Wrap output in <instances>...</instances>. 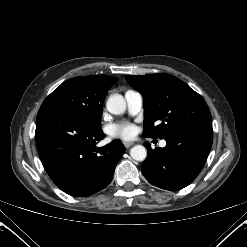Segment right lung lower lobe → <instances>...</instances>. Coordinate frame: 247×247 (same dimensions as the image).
<instances>
[{
  "mask_svg": "<svg viewBox=\"0 0 247 247\" xmlns=\"http://www.w3.org/2000/svg\"><path fill=\"white\" fill-rule=\"evenodd\" d=\"M36 142L42 164L65 193L84 197L104 189L125 152L120 141L103 148L100 126L57 107H41L36 118Z\"/></svg>",
  "mask_w": 247,
  "mask_h": 247,
  "instance_id": "obj_1",
  "label": "right lung lower lobe"
}]
</instances>
